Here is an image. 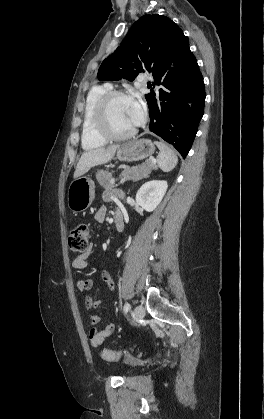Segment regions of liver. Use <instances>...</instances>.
Wrapping results in <instances>:
<instances>
[{"label": "liver", "mask_w": 264, "mask_h": 419, "mask_svg": "<svg viewBox=\"0 0 264 419\" xmlns=\"http://www.w3.org/2000/svg\"><path fill=\"white\" fill-rule=\"evenodd\" d=\"M118 147V145H112L107 148H97L84 152L77 163L74 178L81 177L94 166L109 162L114 157Z\"/></svg>", "instance_id": "liver-1"}]
</instances>
